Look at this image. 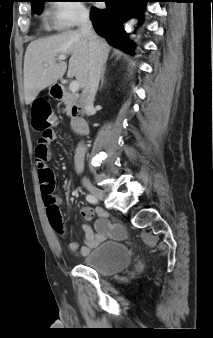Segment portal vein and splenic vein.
Masks as SVG:
<instances>
[{
  "label": "portal vein and splenic vein",
  "mask_w": 213,
  "mask_h": 338,
  "mask_svg": "<svg viewBox=\"0 0 213 338\" xmlns=\"http://www.w3.org/2000/svg\"><path fill=\"white\" fill-rule=\"evenodd\" d=\"M65 59H66L65 55L58 56V60L60 61L65 60ZM69 89L71 92H77L79 90V83L77 81H72L69 85Z\"/></svg>",
  "instance_id": "portal-vein-and-splenic-vein-1"
}]
</instances>
